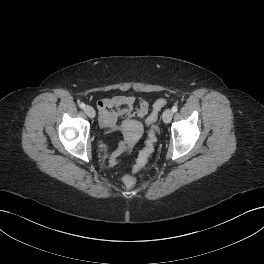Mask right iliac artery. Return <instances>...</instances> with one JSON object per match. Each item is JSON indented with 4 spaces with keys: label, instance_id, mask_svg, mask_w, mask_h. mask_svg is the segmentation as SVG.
Here are the masks:
<instances>
[{
    "label": "right iliac artery",
    "instance_id": "right-iliac-artery-1",
    "mask_svg": "<svg viewBox=\"0 0 264 264\" xmlns=\"http://www.w3.org/2000/svg\"><path fill=\"white\" fill-rule=\"evenodd\" d=\"M80 108L84 109L85 108V104L84 103H81L80 104Z\"/></svg>",
    "mask_w": 264,
    "mask_h": 264
}]
</instances>
